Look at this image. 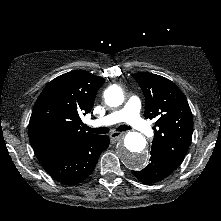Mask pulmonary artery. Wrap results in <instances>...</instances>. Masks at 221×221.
<instances>
[{
	"label": "pulmonary artery",
	"mask_w": 221,
	"mask_h": 221,
	"mask_svg": "<svg viewBox=\"0 0 221 221\" xmlns=\"http://www.w3.org/2000/svg\"><path fill=\"white\" fill-rule=\"evenodd\" d=\"M140 108V99L136 96H132L122 109L93 121L92 125L108 126L119 122H126L141 133L151 136L153 134V130L150 125L141 118Z\"/></svg>",
	"instance_id": "1"
}]
</instances>
